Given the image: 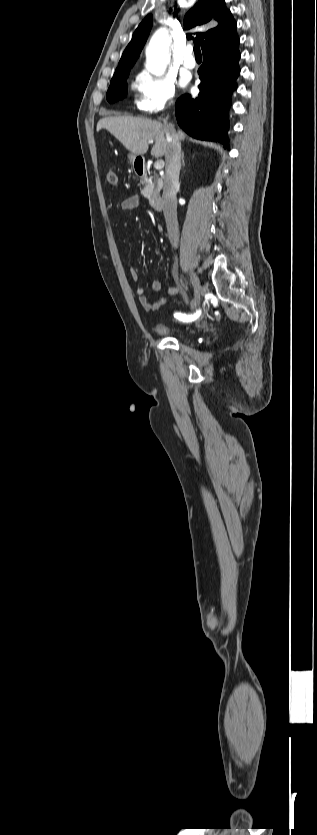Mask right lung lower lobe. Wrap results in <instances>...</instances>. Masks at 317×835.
<instances>
[{
    "label": "right lung lower lobe",
    "mask_w": 317,
    "mask_h": 835,
    "mask_svg": "<svg viewBox=\"0 0 317 835\" xmlns=\"http://www.w3.org/2000/svg\"><path fill=\"white\" fill-rule=\"evenodd\" d=\"M202 51L204 61L198 70L200 93L195 98L183 95L177 100V122L192 137L229 147L228 110L240 73L239 38L235 33L206 45Z\"/></svg>",
    "instance_id": "obj_1"
}]
</instances>
